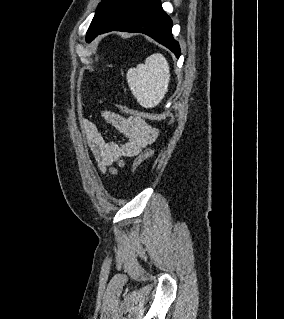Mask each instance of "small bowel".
I'll return each instance as SVG.
<instances>
[{"label": "small bowel", "instance_id": "small-bowel-1", "mask_svg": "<svg viewBox=\"0 0 284 319\" xmlns=\"http://www.w3.org/2000/svg\"><path fill=\"white\" fill-rule=\"evenodd\" d=\"M102 117L125 138L123 142L113 141L90 120H81L82 132L102 174H115L125 158L139 155L158 137V130L142 118L124 117L111 111L102 112Z\"/></svg>", "mask_w": 284, "mask_h": 319}]
</instances>
